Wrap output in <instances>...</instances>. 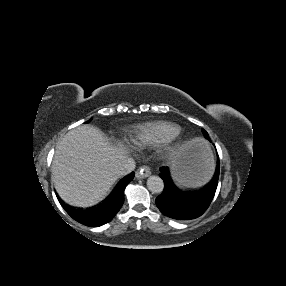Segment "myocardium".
<instances>
[{"label":"myocardium","mask_w":286,"mask_h":286,"mask_svg":"<svg viewBox=\"0 0 286 286\" xmlns=\"http://www.w3.org/2000/svg\"><path fill=\"white\" fill-rule=\"evenodd\" d=\"M173 151H174V146L172 145V143H169V145L164 147L163 150H162V152L164 154H171Z\"/></svg>","instance_id":"f54148a6"}]
</instances>
